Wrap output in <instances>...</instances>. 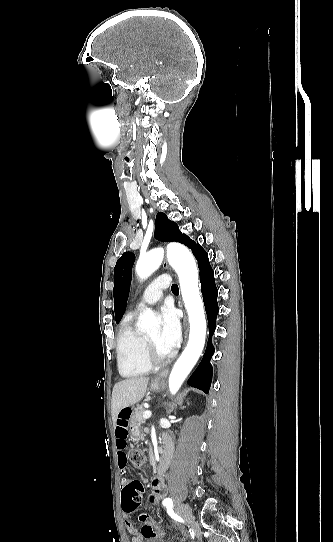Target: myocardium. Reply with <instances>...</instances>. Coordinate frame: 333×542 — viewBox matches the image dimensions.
Listing matches in <instances>:
<instances>
[{
  "mask_svg": "<svg viewBox=\"0 0 333 542\" xmlns=\"http://www.w3.org/2000/svg\"><path fill=\"white\" fill-rule=\"evenodd\" d=\"M143 356L146 360V362L148 364H150L151 366H163V365H166L168 363H170L175 354L172 353L170 354L169 356L167 357H159L157 355V353L155 352V349L152 345V343L150 342V340L147 338V337H144L143 339Z\"/></svg>",
  "mask_w": 333,
  "mask_h": 542,
  "instance_id": "1",
  "label": "myocardium"
}]
</instances>
